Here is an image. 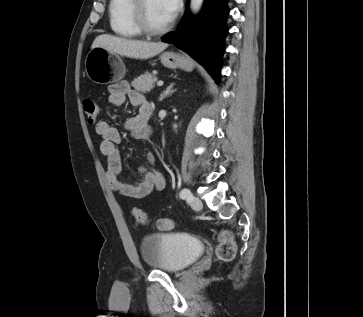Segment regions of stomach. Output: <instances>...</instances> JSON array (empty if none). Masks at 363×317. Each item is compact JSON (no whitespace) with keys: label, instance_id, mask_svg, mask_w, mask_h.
I'll return each instance as SVG.
<instances>
[{"label":"stomach","instance_id":"obj_1","mask_svg":"<svg viewBox=\"0 0 363 317\" xmlns=\"http://www.w3.org/2000/svg\"><path fill=\"white\" fill-rule=\"evenodd\" d=\"M161 63L169 69H183L191 71V60L181 54L165 52L160 56ZM85 71L88 78L96 84H109L123 79L126 69L118 54L103 47H96L89 51L85 60Z\"/></svg>","mask_w":363,"mask_h":317}]
</instances>
